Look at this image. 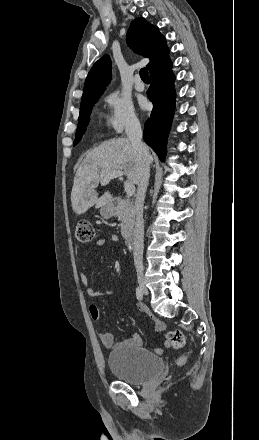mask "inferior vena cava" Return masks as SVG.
Listing matches in <instances>:
<instances>
[{"mask_svg": "<svg viewBox=\"0 0 259 440\" xmlns=\"http://www.w3.org/2000/svg\"><path fill=\"white\" fill-rule=\"evenodd\" d=\"M125 131L139 157L138 188L135 199L136 221L133 232V258L136 270L140 272L143 270L144 248L143 205L150 175V162L148 159V147L142 142V129L138 119H131Z\"/></svg>", "mask_w": 259, "mask_h": 440, "instance_id": "602c4592", "label": "inferior vena cava"}]
</instances>
